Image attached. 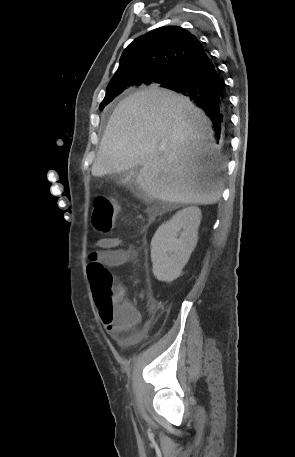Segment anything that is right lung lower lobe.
<instances>
[{"mask_svg": "<svg viewBox=\"0 0 295 457\" xmlns=\"http://www.w3.org/2000/svg\"><path fill=\"white\" fill-rule=\"evenodd\" d=\"M162 87L192 99L209 116L220 139V131L228 121V98L225 84L210 56L203 52L189 61L173 81Z\"/></svg>", "mask_w": 295, "mask_h": 457, "instance_id": "obj_1", "label": "right lung lower lobe"}]
</instances>
